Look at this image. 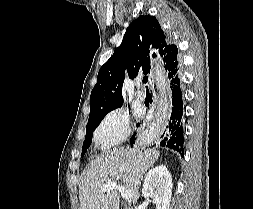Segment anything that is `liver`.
Wrapping results in <instances>:
<instances>
[{
  "instance_id": "1",
  "label": "liver",
  "mask_w": 253,
  "mask_h": 209,
  "mask_svg": "<svg viewBox=\"0 0 253 209\" xmlns=\"http://www.w3.org/2000/svg\"><path fill=\"white\" fill-rule=\"evenodd\" d=\"M159 156L156 149L136 148L113 149L99 156L86 170L79 186L80 209H119L118 191H101L106 183L119 181L132 191V203L136 204L140 181Z\"/></svg>"
}]
</instances>
